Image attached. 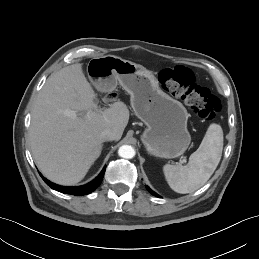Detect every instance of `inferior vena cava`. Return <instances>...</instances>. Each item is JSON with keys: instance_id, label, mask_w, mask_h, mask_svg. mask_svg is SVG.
Masks as SVG:
<instances>
[{"instance_id": "obj_1", "label": "inferior vena cava", "mask_w": 259, "mask_h": 259, "mask_svg": "<svg viewBox=\"0 0 259 259\" xmlns=\"http://www.w3.org/2000/svg\"><path fill=\"white\" fill-rule=\"evenodd\" d=\"M103 141H113L117 139V133L111 129H105L101 133Z\"/></svg>"}]
</instances>
